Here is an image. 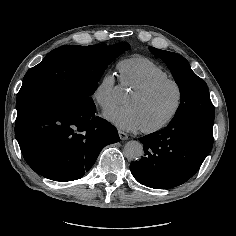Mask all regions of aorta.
Returning <instances> with one entry per match:
<instances>
[{"label":"aorta","mask_w":236,"mask_h":236,"mask_svg":"<svg viewBox=\"0 0 236 236\" xmlns=\"http://www.w3.org/2000/svg\"><path fill=\"white\" fill-rule=\"evenodd\" d=\"M144 154L143 145L136 140L128 141L124 147V155L132 161L139 160Z\"/></svg>","instance_id":"obj_1"}]
</instances>
